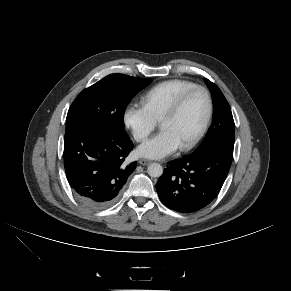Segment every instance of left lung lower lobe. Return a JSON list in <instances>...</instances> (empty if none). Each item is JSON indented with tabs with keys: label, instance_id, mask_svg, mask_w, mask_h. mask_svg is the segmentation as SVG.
<instances>
[{
	"label": "left lung lower lobe",
	"instance_id": "0a47b994",
	"mask_svg": "<svg viewBox=\"0 0 291 291\" xmlns=\"http://www.w3.org/2000/svg\"><path fill=\"white\" fill-rule=\"evenodd\" d=\"M232 159V147L217 145L169 162L156 184L160 200L180 213L206 207L218 195Z\"/></svg>",
	"mask_w": 291,
	"mask_h": 291
}]
</instances>
